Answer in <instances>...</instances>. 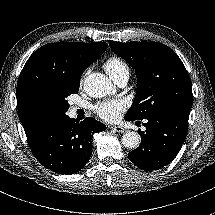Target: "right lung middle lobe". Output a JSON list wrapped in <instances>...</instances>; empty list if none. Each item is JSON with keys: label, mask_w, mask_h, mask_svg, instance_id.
Segmentation results:
<instances>
[{"label": "right lung middle lobe", "mask_w": 215, "mask_h": 215, "mask_svg": "<svg viewBox=\"0 0 215 215\" xmlns=\"http://www.w3.org/2000/svg\"><path fill=\"white\" fill-rule=\"evenodd\" d=\"M79 85L64 86L56 91H41L34 97L33 105L38 115L48 124L65 118L69 109L67 98L77 94Z\"/></svg>", "instance_id": "dd1d6c3e"}]
</instances>
